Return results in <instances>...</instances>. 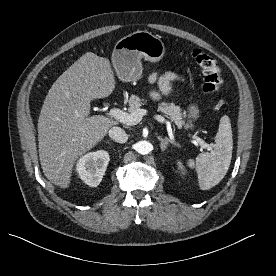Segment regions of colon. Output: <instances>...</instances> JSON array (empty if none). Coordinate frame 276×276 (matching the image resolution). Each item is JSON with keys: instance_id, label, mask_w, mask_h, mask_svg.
Masks as SVG:
<instances>
[{"instance_id": "colon-1", "label": "colon", "mask_w": 276, "mask_h": 276, "mask_svg": "<svg viewBox=\"0 0 276 276\" xmlns=\"http://www.w3.org/2000/svg\"><path fill=\"white\" fill-rule=\"evenodd\" d=\"M192 57L202 71L203 91L209 95L218 94L222 89L223 78L217 61L200 49L193 50Z\"/></svg>"}]
</instances>
